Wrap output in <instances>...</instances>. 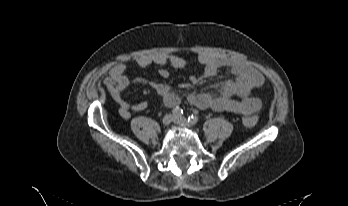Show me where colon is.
Instances as JSON below:
<instances>
[{"instance_id": "colon-1", "label": "colon", "mask_w": 348, "mask_h": 206, "mask_svg": "<svg viewBox=\"0 0 348 206\" xmlns=\"http://www.w3.org/2000/svg\"><path fill=\"white\" fill-rule=\"evenodd\" d=\"M243 123L246 127L252 128L257 124V117L254 114H246L243 116Z\"/></svg>"}]
</instances>
